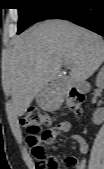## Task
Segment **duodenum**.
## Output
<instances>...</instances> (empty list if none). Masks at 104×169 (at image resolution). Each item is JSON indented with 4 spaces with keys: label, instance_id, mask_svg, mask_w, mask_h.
Segmentation results:
<instances>
[{
    "label": "duodenum",
    "instance_id": "1",
    "mask_svg": "<svg viewBox=\"0 0 104 169\" xmlns=\"http://www.w3.org/2000/svg\"><path fill=\"white\" fill-rule=\"evenodd\" d=\"M76 87L81 93H87L90 89V86L87 82H79Z\"/></svg>",
    "mask_w": 104,
    "mask_h": 169
}]
</instances>
